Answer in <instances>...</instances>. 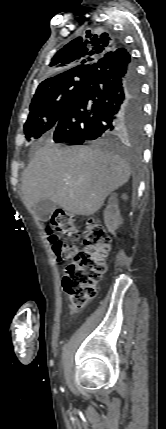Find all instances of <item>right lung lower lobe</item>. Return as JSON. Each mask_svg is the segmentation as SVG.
Here are the masks:
<instances>
[{"mask_svg": "<svg viewBox=\"0 0 166 429\" xmlns=\"http://www.w3.org/2000/svg\"><path fill=\"white\" fill-rule=\"evenodd\" d=\"M141 84L129 53L109 51L90 67L53 130L56 143L101 144L123 128L143 126Z\"/></svg>", "mask_w": 166, "mask_h": 429, "instance_id": "right-lung-lower-lobe-1", "label": "right lung lower lobe"}]
</instances>
